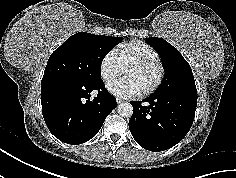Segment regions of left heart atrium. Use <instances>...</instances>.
<instances>
[{
  "mask_svg": "<svg viewBox=\"0 0 236 178\" xmlns=\"http://www.w3.org/2000/svg\"><path fill=\"white\" fill-rule=\"evenodd\" d=\"M109 91L119 97H133L141 94L140 88L129 78H123L108 85Z\"/></svg>",
  "mask_w": 236,
  "mask_h": 178,
  "instance_id": "39dd6f15",
  "label": "left heart atrium"
}]
</instances>
